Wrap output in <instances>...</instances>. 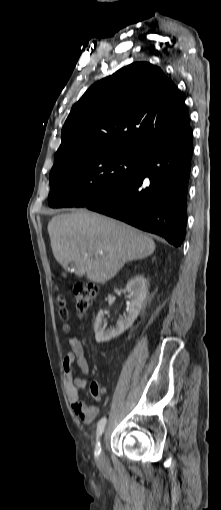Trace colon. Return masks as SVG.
I'll return each instance as SVG.
<instances>
[{
	"mask_svg": "<svg viewBox=\"0 0 221 510\" xmlns=\"http://www.w3.org/2000/svg\"><path fill=\"white\" fill-rule=\"evenodd\" d=\"M98 288L91 282L78 283L75 287V312L79 317L84 316L90 309L93 300L97 295ZM59 314L61 319L67 320L69 318V310L66 308L65 301L59 300ZM90 394L95 404L101 401V392L96 382L90 384Z\"/></svg>",
	"mask_w": 221,
	"mask_h": 510,
	"instance_id": "5ec220e1",
	"label": "colon"
}]
</instances>
